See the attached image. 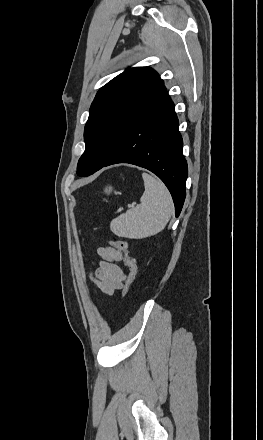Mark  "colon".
Returning a JSON list of instances; mask_svg holds the SVG:
<instances>
[{
  "instance_id": "5ec220e1",
  "label": "colon",
  "mask_w": 263,
  "mask_h": 440,
  "mask_svg": "<svg viewBox=\"0 0 263 440\" xmlns=\"http://www.w3.org/2000/svg\"><path fill=\"white\" fill-rule=\"evenodd\" d=\"M110 245L111 247L115 248L116 250L124 254V263L128 269V278H127L124 294H127L130 288L132 287V285L134 284L137 275V266L135 260L129 254V247L127 242L120 239H112L110 241Z\"/></svg>"
}]
</instances>
